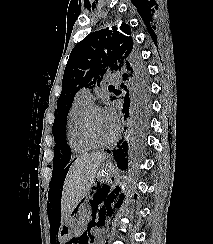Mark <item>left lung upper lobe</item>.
<instances>
[{"label": "left lung upper lobe", "instance_id": "1", "mask_svg": "<svg viewBox=\"0 0 213 244\" xmlns=\"http://www.w3.org/2000/svg\"><path fill=\"white\" fill-rule=\"evenodd\" d=\"M109 70L124 72L123 80L127 84L122 83L121 86L127 92L126 104L150 110L148 77L134 48L130 26L122 23L98 29L73 48L65 67L52 127L56 147L61 146V150L68 148L65 140L66 121L75 94L83 87L98 85Z\"/></svg>", "mask_w": 213, "mask_h": 244}]
</instances>
